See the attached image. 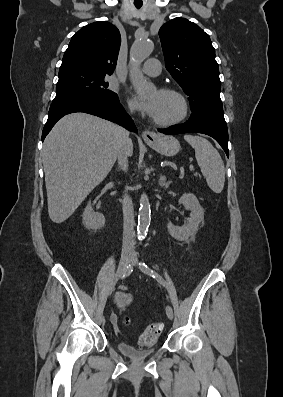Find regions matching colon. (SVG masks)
<instances>
[{
    "label": "colon",
    "mask_w": 283,
    "mask_h": 397,
    "mask_svg": "<svg viewBox=\"0 0 283 397\" xmlns=\"http://www.w3.org/2000/svg\"><path fill=\"white\" fill-rule=\"evenodd\" d=\"M128 318H126V321ZM163 330V324L160 322H154L147 326V328L141 333L139 342L142 346H149L156 342Z\"/></svg>",
    "instance_id": "5ec220e1"
}]
</instances>
